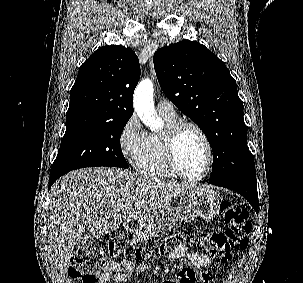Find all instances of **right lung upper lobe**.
Segmentation results:
<instances>
[{
	"instance_id": "obj_1",
	"label": "right lung upper lobe",
	"mask_w": 303,
	"mask_h": 283,
	"mask_svg": "<svg viewBox=\"0 0 303 283\" xmlns=\"http://www.w3.org/2000/svg\"><path fill=\"white\" fill-rule=\"evenodd\" d=\"M139 77L140 65L133 50L121 45L100 47L79 69L66 119L129 120Z\"/></svg>"
}]
</instances>
